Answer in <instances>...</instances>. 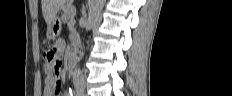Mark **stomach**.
I'll list each match as a JSON object with an SVG mask.
<instances>
[{
    "instance_id": "1",
    "label": "stomach",
    "mask_w": 232,
    "mask_h": 96,
    "mask_svg": "<svg viewBox=\"0 0 232 96\" xmlns=\"http://www.w3.org/2000/svg\"><path fill=\"white\" fill-rule=\"evenodd\" d=\"M61 29V23L57 18H55L50 24H48V37L49 39H55Z\"/></svg>"
}]
</instances>
